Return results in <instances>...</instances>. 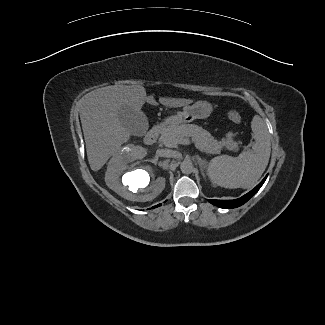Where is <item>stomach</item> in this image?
Here are the masks:
<instances>
[{"label": "stomach", "instance_id": "stomach-1", "mask_svg": "<svg viewBox=\"0 0 325 325\" xmlns=\"http://www.w3.org/2000/svg\"><path fill=\"white\" fill-rule=\"evenodd\" d=\"M212 113V105L206 101H198L192 106L186 105L182 111L166 119V123L177 125L181 122H191L195 119H204Z\"/></svg>", "mask_w": 325, "mask_h": 325}]
</instances>
